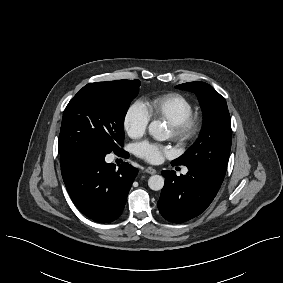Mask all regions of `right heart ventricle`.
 <instances>
[{
	"label": "right heart ventricle",
	"instance_id": "1",
	"mask_svg": "<svg viewBox=\"0 0 283 283\" xmlns=\"http://www.w3.org/2000/svg\"><path fill=\"white\" fill-rule=\"evenodd\" d=\"M150 117L162 119L169 125L183 120L192 113V104L184 95L170 92L155 96L146 102Z\"/></svg>",
	"mask_w": 283,
	"mask_h": 283
}]
</instances>
